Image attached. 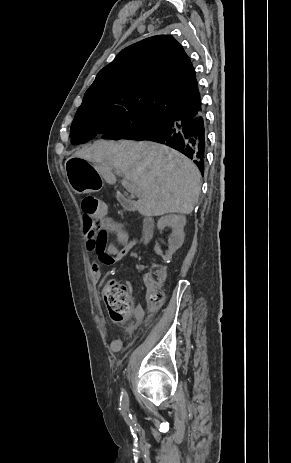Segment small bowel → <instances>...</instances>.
<instances>
[{"instance_id":"1","label":"small bowel","mask_w":291,"mask_h":463,"mask_svg":"<svg viewBox=\"0 0 291 463\" xmlns=\"http://www.w3.org/2000/svg\"><path fill=\"white\" fill-rule=\"evenodd\" d=\"M108 234H113L115 242L107 243ZM86 248L97 256V262L92 267V278L98 282L101 278L100 265H113L132 252L139 245L138 240H130L128 233L119 222L103 215L99 220L97 229L87 230L84 233ZM121 246V248L119 247ZM144 282L151 285L152 277L144 276ZM126 287L131 289L132 283L126 282ZM136 325H141L145 320V311L141 305L134 308ZM122 347V340L116 338L111 343V351L118 352Z\"/></svg>"}]
</instances>
